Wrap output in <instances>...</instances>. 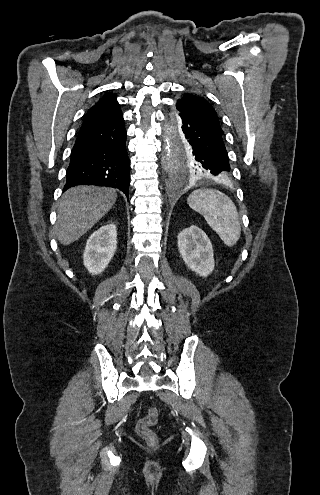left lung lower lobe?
Segmentation results:
<instances>
[{
    "label": "left lung lower lobe",
    "mask_w": 320,
    "mask_h": 495,
    "mask_svg": "<svg viewBox=\"0 0 320 495\" xmlns=\"http://www.w3.org/2000/svg\"><path fill=\"white\" fill-rule=\"evenodd\" d=\"M183 137L194 148L199 150L200 160L212 178H225L230 175L228 154L223 135L194 114L178 113ZM172 118L170 125L172 126Z\"/></svg>",
    "instance_id": "obj_1"
}]
</instances>
